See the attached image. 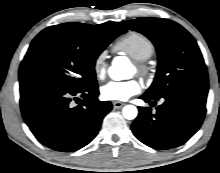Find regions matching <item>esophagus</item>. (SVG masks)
<instances>
[{
	"instance_id": "1",
	"label": "esophagus",
	"mask_w": 220,
	"mask_h": 173,
	"mask_svg": "<svg viewBox=\"0 0 220 173\" xmlns=\"http://www.w3.org/2000/svg\"><path fill=\"white\" fill-rule=\"evenodd\" d=\"M124 106V103L123 102H120V101H114L113 102V107L115 108V109H119V108H121V107H123Z\"/></svg>"
}]
</instances>
